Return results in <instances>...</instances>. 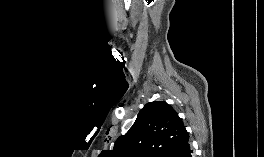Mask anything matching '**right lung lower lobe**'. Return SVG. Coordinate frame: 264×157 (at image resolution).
<instances>
[{"label": "right lung lower lobe", "instance_id": "1", "mask_svg": "<svg viewBox=\"0 0 264 157\" xmlns=\"http://www.w3.org/2000/svg\"><path fill=\"white\" fill-rule=\"evenodd\" d=\"M172 157H193V151L190 148L189 143L185 144Z\"/></svg>", "mask_w": 264, "mask_h": 157}]
</instances>
